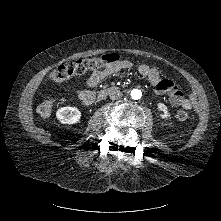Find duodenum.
I'll return each instance as SVG.
<instances>
[{
    "label": "duodenum",
    "instance_id": "1",
    "mask_svg": "<svg viewBox=\"0 0 221 221\" xmlns=\"http://www.w3.org/2000/svg\"><path fill=\"white\" fill-rule=\"evenodd\" d=\"M108 92H109L108 90H102V91H100L99 94H98V99L104 98V97L108 94ZM92 100H93V99H92ZM92 100H91V101H92ZM91 101H90V102H91ZM88 103H89V102H88Z\"/></svg>",
    "mask_w": 221,
    "mask_h": 221
}]
</instances>
